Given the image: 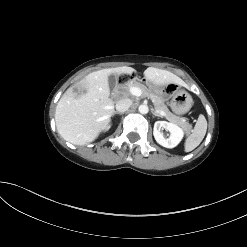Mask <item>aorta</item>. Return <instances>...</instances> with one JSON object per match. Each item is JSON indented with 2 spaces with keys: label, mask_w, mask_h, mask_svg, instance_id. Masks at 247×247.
Segmentation results:
<instances>
[{
  "label": "aorta",
  "mask_w": 247,
  "mask_h": 247,
  "mask_svg": "<svg viewBox=\"0 0 247 247\" xmlns=\"http://www.w3.org/2000/svg\"><path fill=\"white\" fill-rule=\"evenodd\" d=\"M138 110L141 114H147L149 112V108L146 104H141Z\"/></svg>",
  "instance_id": "762f6f07"
}]
</instances>
